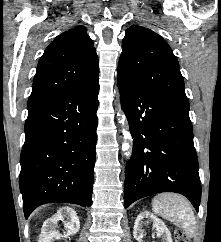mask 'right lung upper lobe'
<instances>
[{
    "label": "right lung upper lobe",
    "instance_id": "right-lung-upper-lobe-1",
    "mask_svg": "<svg viewBox=\"0 0 221 242\" xmlns=\"http://www.w3.org/2000/svg\"><path fill=\"white\" fill-rule=\"evenodd\" d=\"M98 73V57L86 28L65 31L39 60L28 103L70 92Z\"/></svg>",
    "mask_w": 221,
    "mask_h": 242
}]
</instances>
